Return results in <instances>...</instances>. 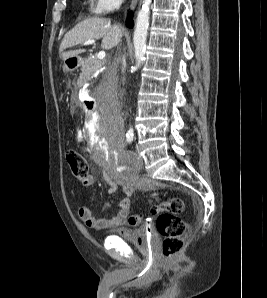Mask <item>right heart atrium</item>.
<instances>
[{
  "label": "right heart atrium",
  "instance_id": "right-heart-atrium-1",
  "mask_svg": "<svg viewBox=\"0 0 267 298\" xmlns=\"http://www.w3.org/2000/svg\"><path fill=\"white\" fill-rule=\"evenodd\" d=\"M96 1V11L99 14H106L114 9L118 8L122 0H95Z\"/></svg>",
  "mask_w": 267,
  "mask_h": 298
}]
</instances>
